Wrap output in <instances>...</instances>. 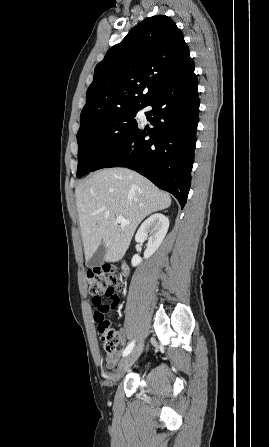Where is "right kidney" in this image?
Masks as SVG:
<instances>
[{"label": "right kidney", "instance_id": "ca27d5eb", "mask_svg": "<svg viewBox=\"0 0 269 447\" xmlns=\"http://www.w3.org/2000/svg\"><path fill=\"white\" fill-rule=\"evenodd\" d=\"M169 227V220L163 214H153L150 218H147L143 224L140 225L136 235L135 241L142 243L145 239H148L147 249L144 251V259H148L150 255L155 253L159 245H161ZM142 257L135 253L132 257V265H139Z\"/></svg>", "mask_w": 269, "mask_h": 447}]
</instances>
